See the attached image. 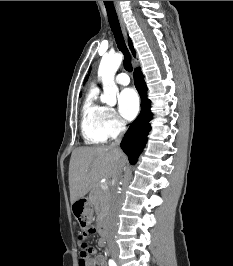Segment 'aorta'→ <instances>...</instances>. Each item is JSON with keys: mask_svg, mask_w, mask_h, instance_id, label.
<instances>
[{"mask_svg": "<svg viewBox=\"0 0 233 266\" xmlns=\"http://www.w3.org/2000/svg\"><path fill=\"white\" fill-rule=\"evenodd\" d=\"M122 60L123 55L115 53L104 56L99 65L98 76L101 78L103 84V95L101 96V101L109 106H114L116 104L118 88L114 81V77Z\"/></svg>", "mask_w": 233, "mask_h": 266, "instance_id": "762f6f07", "label": "aorta"}]
</instances>
